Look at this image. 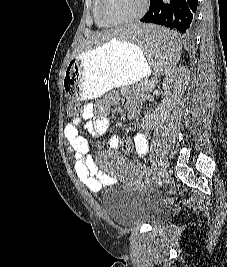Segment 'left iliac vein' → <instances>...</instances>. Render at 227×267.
Listing matches in <instances>:
<instances>
[{
    "mask_svg": "<svg viewBox=\"0 0 227 267\" xmlns=\"http://www.w3.org/2000/svg\"><path fill=\"white\" fill-rule=\"evenodd\" d=\"M168 177V172L165 167H162L157 174L156 180H155V187L158 188L160 187L167 179Z\"/></svg>",
    "mask_w": 227,
    "mask_h": 267,
    "instance_id": "4c4485c4",
    "label": "left iliac vein"
}]
</instances>
